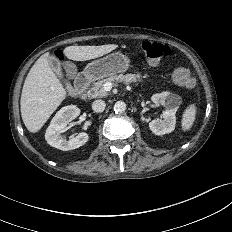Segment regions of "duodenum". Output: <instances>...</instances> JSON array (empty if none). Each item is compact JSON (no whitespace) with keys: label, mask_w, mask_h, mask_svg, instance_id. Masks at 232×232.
Instances as JSON below:
<instances>
[{"label":"duodenum","mask_w":232,"mask_h":232,"mask_svg":"<svg viewBox=\"0 0 232 232\" xmlns=\"http://www.w3.org/2000/svg\"><path fill=\"white\" fill-rule=\"evenodd\" d=\"M89 82H90L89 74L79 73L74 80V85L78 93L83 94L87 89Z\"/></svg>","instance_id":"obj_1"}]
</instances>
